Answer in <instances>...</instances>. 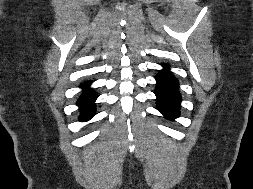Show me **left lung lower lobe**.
<instances>
[{
	"instance_id": "1",
	"label": "left lung lower lobe",
	"mask_w": 253,
	"mask_h": 189,
	"mask_svg": "<svg viewBox=\"0 0 253 189\" xmlns=\"http://www.w3.org/2000/svg\"><path fill=\"white\" fill-rule=\"evenodd\" d=\"M165 70L160 71L156 78L157 85L155 95L157 97L158 110L168 119L179 117L181 95L178 92V80L172 76L168 70V65H164Z\"/></svg>"
}]
</instances>
